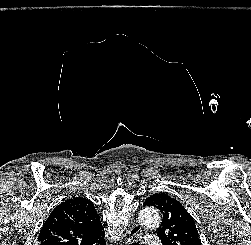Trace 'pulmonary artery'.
Segmentation results:
<instances>
[{
	"label": "pulmonary artery",
	"mask_w": 251,
	"mask_h": 245,
	"mask_svg": "<svg viewBox=\"0 0 251 245\" xmlns=\"http://www.w3.org/2000/svg\"><path fill=\"white\" fill-rule=\"evenodd\" d=\"M145 243L147 245H160V242L158 241L156 237H147L145 239Z\"/></svg>",
	"instance_id": "pulmonary-artery-1"
}]
</instances>
